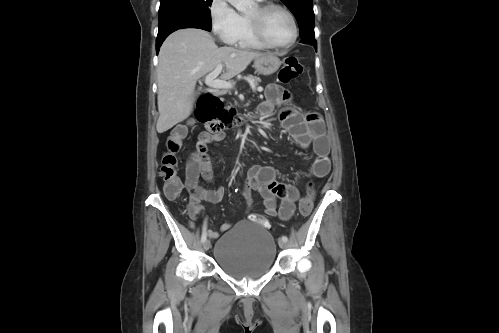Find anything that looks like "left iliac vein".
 I'll return each mask as SVG.
<instances>
[{
	"label": "left iliac vein",
	"mask_w": 499,
	"mask_h": 333,
	"mask_svg": "<svg viewBox=\"0 0 499 333\" xmlns=\"http://www.w3.org/2000/svg\"><path fill=\"white\" fill-rule=\"evenodd\" d=\"M278 245H279V247H280V248H282V249L286 248V246H287L286 242H285V241H283L282 239H279V240H278Z\"/></svg>",
	"instance_id": "left-iliac-vein-1"
}]
</instances>
